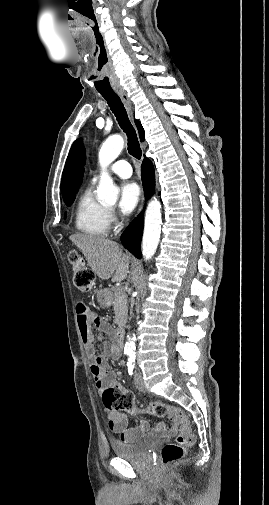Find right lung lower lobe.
<instances>
[{"label":"right lung lower lobe","instance_id":"obj_1","mask_svg":"<svg viewBox=\"0 0 269 505\" xmlns=\"http://www.w3.org/2000/svg\"><path fill=\"white\" fill-rule=\"evenodd\" d=\"M142 182L145 193L150 196L155 187L154 167L150 159L144 158L141 166ZM143 231V215H138L136 219L126 228L121 236V242L134 256L141 258V238Z\"/></svg>","mask_w":269,"mask_h":505}]
</instances>
